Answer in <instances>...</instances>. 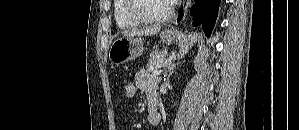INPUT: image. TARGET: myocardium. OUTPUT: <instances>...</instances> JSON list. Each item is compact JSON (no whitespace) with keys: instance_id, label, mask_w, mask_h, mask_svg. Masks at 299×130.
Masks as SVG:
<instances>
[{"instance_id":"obj_1","label":"myocardium","mask_w":299,"mask_h":130,"mask_svg":"<svg viewBox=\"0 0 299 130\" xmlns=\"http://www.w3.org/2000/svg\"><path fill=\"white\" fill-rule=\"evenodd\" d=\"M145 0H129V14L130 16L142 24H154L166 22L172 18L174 14V5L170 4L168 12L163 16H149L141 11L140 4Z\"/></svg>"}]
</instances>
